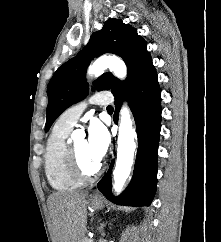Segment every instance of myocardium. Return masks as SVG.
<instances>
[{"label":"myocardium","instance_id":"1","mask_svg":"<svg viewBox=\"0 0 221 242\" xmlns=\"http://www.w3.org/2000/svg\"><path fill=\"white\" fill-rule=\"evenodd\" d=\"M68 164H69V168L70 171L72 172V174L82 180V181H89L94 179L100 172L101 170V163L98 162V164L96 165V167L92 170H86L78 156L77 153L75 151V149L73 147L68 148Z\"/></svg>","mask_w":221,"mask_h":242}]
</instances>
